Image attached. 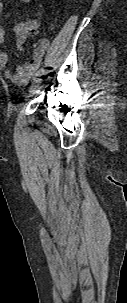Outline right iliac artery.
Masks as SVG:
<instances>
[{
	"label": "right iliac artery",
	"mask_w": 127,
	"mask_h": 303,
	"mask_svg": "<svg viewBox=\"0 0 127 303\" xmlns=\"http://www.w3.org/2000/svg\"><path fill=\"white\" fill-rule=\"evenodd\" d=\"M44 73V69L43 68H41V69H39L36 73H35V78L37 77V76H40V75H42Z\"/></svg>",
	"instance_id": "obj_1"
}]
</instances>
